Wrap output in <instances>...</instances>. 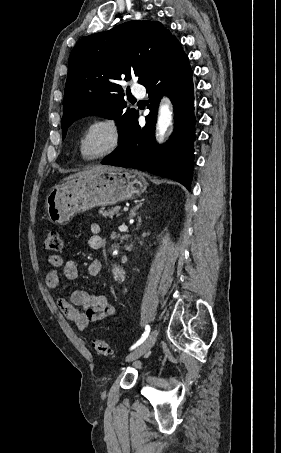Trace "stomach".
I'll list each match as a JSON object with an SVG mask.
<instances>
[{
    "instance_id": "1",
    "label": "stomach",
    "mask_w": 281,
    "mask_h": 453,
    "mask_svg": "<svg viewBox=\"0 0 281 453\" xmlns=\"http://www.w3.org/2000/svg\"><path fill=\"white\" fill-rule=\"evenodd\" d=\"M147 182L141 172L119 168L72 178L56 184L46 196V210L54 224H66L77 212L94 206L116 204L121 200L137 198L145 192Z\"/></svg>"
}]
</instances>
